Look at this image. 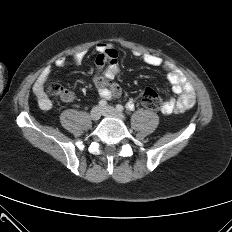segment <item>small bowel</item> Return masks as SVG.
I'll return each instance as SVG.
<instances>
[{"mask_svg": "<svg viewBox=\"0 0 232 232\" xmlns=\"http://www.w3.org/2000/svg\"><path fill=\"white\" fill-rule=\"evenodd\" d=\"M95 49L97 55L94 61L95 67L92 74V82L103 99L119 98L122 95V89L114 81L120 73L118 53L105 42L98 43ZM85 55V51H79L70 60L59 58L56 60L55 66L58 68L78 66L83 62ZM134 55L140 58L147 66L163 70L168 82L171 84L172 91L176 97H171L163 103L161 109L163 114L183 113L195 104L196 95L193 85L177 66L155 54L136 51ZM49 73V70L43 71L33 86V93L37 103L43 110H50L53 105L52 100L44 89ZM64 91V94L60 96L61 100L66 103L72 102L75 98L74 93L68 89H64ZM130 103L133 102L129 101L128 104Z\"/></svg>", "mask_w": 232, "mask_h": 232, "instance_id": "1", "label": "small bowel"}]
</instances>
